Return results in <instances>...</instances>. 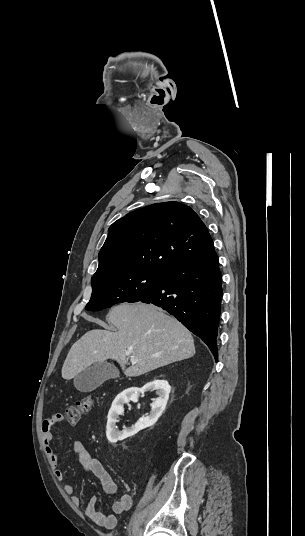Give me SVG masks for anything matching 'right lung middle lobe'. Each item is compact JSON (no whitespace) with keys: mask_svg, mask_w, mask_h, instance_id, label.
<instances>
[{"mask_svg":"<svg viewBox=\"0 0 305 536\" xmlns=\"http://www.w3.org/2000/svg\"><path fill=\"white\" fill-rule=\"evenodd\" d=\"M166 272L135 271L123 276L92 281V296L86 310L100 311L121 302H137L151 293Z\"/></svg>","mask_w":305,"mask_h":536,"instance_id":"right-lung-middle-lobe-1","label":"right lung middle lobe"}]
</instances>
